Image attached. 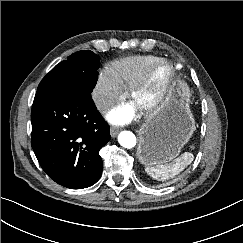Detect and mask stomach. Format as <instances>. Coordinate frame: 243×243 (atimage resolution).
<instances>
[{
	"label": "stomach",
	"instance_id": "0dacf381",
	"mask_svg": "<svg viewBox=\"0 0 243 243\" xmlns=\"http://www.w3.org/2000/svg\"><path fill=\"white\" fill-rule=\"evenodd\" d=\"M190 90L179 81L165 107L142 124L137 156L146 166L163 164L177 157L191 138L195 121L189 107Z\"/></svg>",
	"mask_w": 243,
	"mask_h": 243
}]
</instances>
